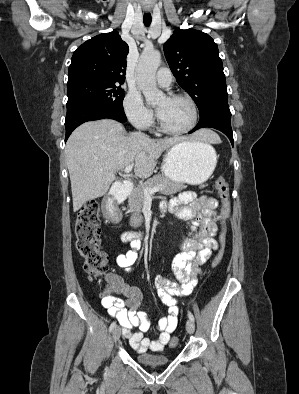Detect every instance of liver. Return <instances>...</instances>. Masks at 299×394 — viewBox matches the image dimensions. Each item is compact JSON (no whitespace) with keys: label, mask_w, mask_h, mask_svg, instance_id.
<instances>
[{"label":"liver","mask_w":299,"mask_h":394,"mask_svg":"<svg viewBox=\"0 0 299 394\" xmlns=\"http://www.w3.org/2000/svg\"><path fill=\"white\" fill-rule=\"evenodd\" d=\"M194 140L219 143L214 132L202 129ZM182 137L151 139L142 133L125 135L122 124L112 119L89 121L80 125L69 137L65 156L70 175L73 211L89 200L102 197L115 180L114 171L134 165L141 178L153 174L158 158Z\"/></svg>","instance_id":"1"}]
</instances>
